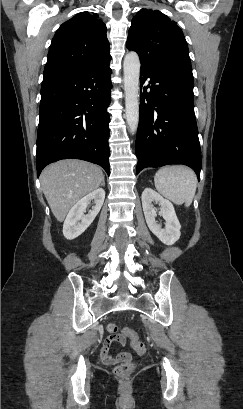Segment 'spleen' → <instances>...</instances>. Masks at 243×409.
I'll return each instance as SVG.
<instances>
[{"label": "spleen", "instance_id": "3e777b00", "mask_svg": "<svg viewBox=\"0 0 243 409\" xmlns=\"http://www.w3.org/2000/svg\"><path fill=\"white\" fill-rule=\"evenodd\" d=\"M157 191L175 204L188 207L193 201L197 179L195 173L185 166L161 168L154 176Z\"/></svg>", "mask_w": 243, "mask_h": 409}]
</instances>
